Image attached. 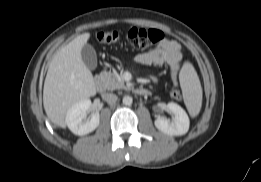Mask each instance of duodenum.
Returning <instances> with one entry per match:
<instances>
[{
	"instance_id": "duodenum-1",
	"label": "duodenum",
	"mask_w": 261,
	"mask_h": 182,
	"mask_svg": "<svg viewBox=\"0 0 261 182\" xmlns=\"http://www.w3.org/2000/svg\"><path fill=\"white\" fill-rule=\"evenodd\" d=\"M95 85H96V88L98 89L99 92H103L105 90V85H104V82L101 80V78L98 77L96 79ZM134 92L136 94H138V95H141V96H148V95H150L149 90H147L145 88H142V87L134 88Z\"/></svg>"
}]
</instances>
